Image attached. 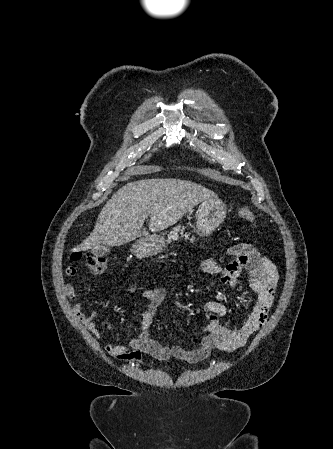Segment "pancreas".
I'll list each match as a JSON object with an SVG mask.
<instances>
[{
    "instance_id": "pancreas-1",
    "label": "pancreas",
    "mask_w": 333,
    "mask_h": 449,
    "mask_svg": "<svg viewBox=\"0 0 333 449\" xmlns=\"http://www.w3.org/2000/svg\"><path fill=\"white\" fill-rule=\"evenodd\" d=\"M179 231H180V227L179 226L175 227L174 230L169 234V238H177L178 237L177 232H179ZM185 238L188 239V235H185ZM191 241H192V239H191Z\"/></svg>"
}]
</instances>
